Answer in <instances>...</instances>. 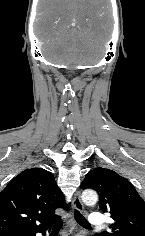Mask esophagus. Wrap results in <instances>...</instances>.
Returning <instances> with one entry per match:
<instances>
[{
    "label": "esophagus",
    "mask_w": 145,
    "mask_h": 236,
    "mask_svg": "<svg viewBox=\"0 0 145 236\" xmlns=\"http://www.w3.org/2000/svg\"><path fill=\"white\" fill-rule=\"evenodd\" d=\"M73 208L77 211L83 212L84 205L81 201L80 192H76L73 199Z\"/></svg>",
    "instance_id": "esophagus-1"
}]
</instances>
